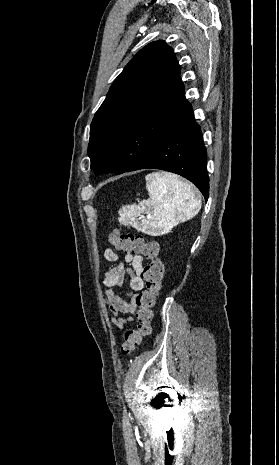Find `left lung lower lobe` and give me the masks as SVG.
Here are the masks:
<instances>
[{"label": "left lung lower lobe", "mask_w": 279, "mask_h": 465, "mask_svg": "<svg viewBox=\"0 0 279 465\" xmlns=\"http://www.w3.org/2000/svg\"><path fill=\"white\" fill-rule=\"evenodd\" d=\"M207 152L193 110L186 111L171 130L130 171L155 168L179 174L209 196Z\"/></svg>", "instance_id": "left-lung-lower-lobe-1"}]
</instances>
